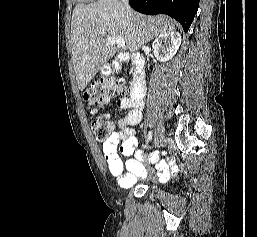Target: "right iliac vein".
Listing matches in <instances>:
<instances>
[{"label":"right iliac vein","instance_id":"right-iliac-vein-1","mask_svg":"<svg viewBox=\"0 0 257 237\" xmlns=\"http://www.w3.org/2000/svg\"><path fill=\"white\" fill-rule=\"evenodd\" d=\"M163 139H164L163 129L159 127L155 132L154 144L159 145L160 143L163 142Z\"/></svg>","mask_w":257,"mask_h":237}]
</instances>
